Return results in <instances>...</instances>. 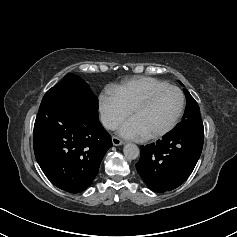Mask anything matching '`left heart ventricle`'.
<instances>
[{"mask_svg":"<svg viewBox=\"0 0 237 237\" xmlns=\"http://www.w3.org/2000/svg\"><path fill=\"white\" fill-rule=\"evenodd\" d=\"M180 105V96L175 90H165L131 116L140 126L145 136L166 127L176 115Z\"/></svg>","mask_w":237,"mask_h":237,"instance_id":"b2bd125f","label":"left heart ventricle"}]
</instances>
